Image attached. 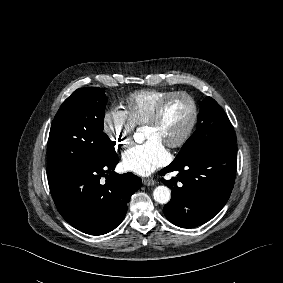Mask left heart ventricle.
I'll return each mask as SVG.
<instances>
[{
	"label": "left heart ventricle",
	"instance_id": "1",
	"mask_svg": "<svg viewBox=\"0 0 283 283\" xmlns=\"http://www.w3.org/2000/svg\"><path fill=\"white\" fill-rule=\"evenodd\" d=\"M191 118V106L184 98L173 99L165 108L157 125H146V140L157 139L163 144L173 142L181 137Z\"/></svg>",
	"mask_w": 283,
	"mask_h": 283
}]
</instances>
